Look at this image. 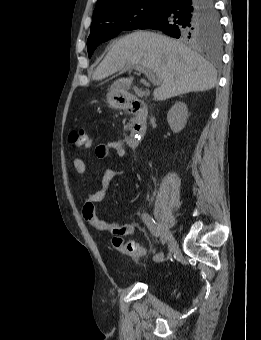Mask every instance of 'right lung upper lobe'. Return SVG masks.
<instances>
[{
	"mask_svg": "<svg viewBox=\"0 0 261 340\" xmlns=\"http://www.w3.org/2000/svg\"><path fill=\"white\" fill-rule=\"evenodd\" d=\"M146 0H97L96 7L93 13V21H96L103 14L118 7H123L135 2Z\"/></svg>",
	"mask_w": 261,
	"mask_h": 340,
	"instance_id": "1",
	"label": "right lung upper lobe"
}]
</instances>
